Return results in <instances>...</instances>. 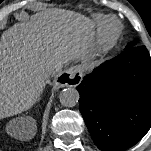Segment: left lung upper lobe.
<instances>
[{"label":"left lung upper lobe","mask_w":151,"mask_h":151,"mask_svg":"<svg viewBox=\"0 0 151 151\" xmlns=\"http://www.w3.org/2000/svg\"><path fill=\"white\" fill-rule=\"evenodd\" d=\"M135 46H137V45H136V42H131V43H129V44L126 46L125 50H126V49H129V48H132V47H135Z\"/></svg>","instance_id":"obj_1"}]
</instances>
